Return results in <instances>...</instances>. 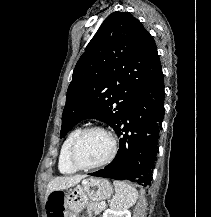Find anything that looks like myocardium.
I'll use <instances>...</instances> for the list:
<instances>
[{
    "label": "myocardium",
    "mask_w": 211,
    "mask_h": 217,
    "mask_svg": "<svg viewBox=\"0 0 211 217\" xmlns=\"http://www.w3.org/2000/svg\"><path fill=\"white\" fill-rule=\"evenodd\" d=\"M92 131H101V132H104L105 134H107L108 137L110 138V141H111V150H110V153L108 154V156L104 160H102L98 163L90 164V165L81 164L77 159V149H78L79 144L81 143L82 139L84 138V136L87 133L92 132ZM116 153H117V141H116V138L113 135V133L110 130H108L102 126L94 125V126H89V127L82 129L79 132V134L76 136V138L74 139V141L70 147L69 160H70L71 164L79 170H91V169L100 168V167H103V166L109 164L115 158Z\"/></svg>",
    "instance_id": "1"
}]
</instances>
